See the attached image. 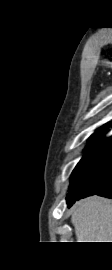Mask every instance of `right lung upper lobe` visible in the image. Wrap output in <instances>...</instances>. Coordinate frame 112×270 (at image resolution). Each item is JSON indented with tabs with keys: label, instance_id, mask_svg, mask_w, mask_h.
Returning <instances> with one entry per match:
<instances>
[{
	"label": "right lung upper lobe",
	"instance_id": "cb5924a9",
	"mask_svg": "<svg viewBox=\"0 0 112 270\" xmlns=\"http://www.w3.org/2000/svg\"><path fill=\"white\" fill-rule=\"evenodd\" d=\"M106 126H110V124H105V125H103L102 127H106ZM102 127H101V128H102Z\"/></svg>",
	"mask_w": 112,
	"mask_h": 270
}]
</instances>
